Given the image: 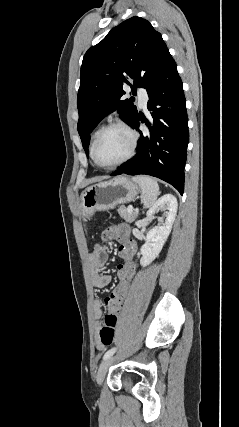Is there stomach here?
Returning a JSON list of instances; mask_svg holds the SVG:
<instances>
[{
	"mask_svg": "<svg viewBox=\"0 0 239 427\" xmlns=\"http://www.w3.org/2000/svg\"><path fill=\"white\" fill-rule=\"evenodd\" d=\"M138 193V185L124 176L98 183L82 193V212L90 218L97 211L110 210L118 204L131 202Z\"/></svg>",
	"mask_w": 239,
	"mask_h": 427,
	"instance_id": "1",
	"label": "stomach"
}]
</instances>
